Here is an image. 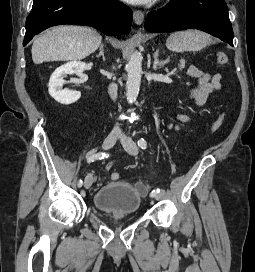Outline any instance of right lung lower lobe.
Listing matches in <instances>:
<instances>
[{
	"label": "right lung lower lobe",
	"instance_id": "98d812e1",
	"mask_svg": "<svg viewBox=\"0 0 255 272\" xmlns=\"http://www.w3.org/2000/svg\"><path fill=\"white\" fill-rule=\"evenodd\" d=\"M131 23V9L116 0H34L26 19L23 46L55 25H86L116 36L130 32Z\"/></svg>",
	"mask_w": 255,
	"mask_h": 272
}]
</instances>
